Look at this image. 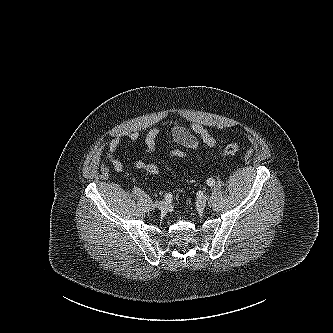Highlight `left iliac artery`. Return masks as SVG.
<instances>
[{
  "instance_id": "44dca946",
  "label": "left iliac artery",
  "mask_w": 333,
  "mask_h": 333,
  "mask_svg": "<svg viewBox=\"0 0 333 333\" xmlns=\"http://www.w3.org/2000/svg\"><path fill=\"white\" fill-rule=\"evenodd\" d=\"M207 184H208V186H214L215 185V180L213 179V178H209L208 180H207Z\"/></svg>"
}]
</instances>
